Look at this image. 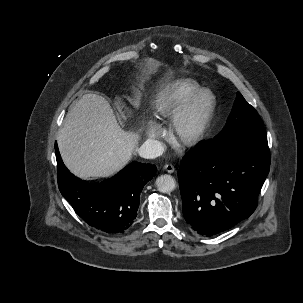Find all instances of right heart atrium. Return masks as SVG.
Instances as JSON below:
<instances>
[{
	"instance_id": "right-heart-atrium-1",
	"label": "right heart atrium",
	"mask_w": 303,
	"mask_h": 303,
	"mask_svg": "<svg viewBox=\"0 0 303 303\" xmlns=\"http://www.w3.org/2000/svg\"><path fill=\"white\" fill-rule=\"evenodd\" d=\"M146 134L149 139H159L161 137V129L152 122H146Z\"/></svg>"
}]
</instances>
